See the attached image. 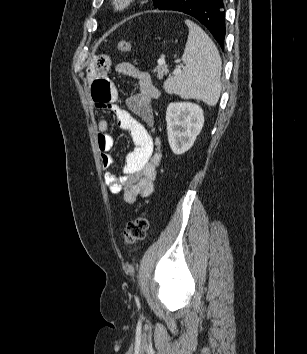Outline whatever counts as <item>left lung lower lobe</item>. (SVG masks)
Returning a JSON list of instances; mask_svg holds the SVG:
<instances>
[{
  "label": "left lung lower lobe",
  "instance_id": "left-lung-lower-lobe-1",
  "mask_svg": "<svg viewBox=\"0 0 307 354\" xmlns=\"http://www.w3.org/2000/svg\"><path fill=\"white\" fill-rule=\"evenodd\" d=\"M160 10L186 13L200 21L224 49L225 6L223 0H170Z\"/></svg>",
  "mask_w": 307,
  "mask_h": 354
}]
</instances>
